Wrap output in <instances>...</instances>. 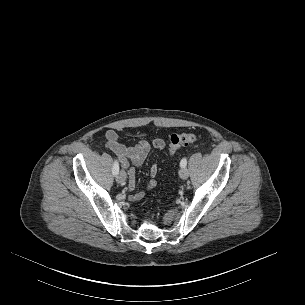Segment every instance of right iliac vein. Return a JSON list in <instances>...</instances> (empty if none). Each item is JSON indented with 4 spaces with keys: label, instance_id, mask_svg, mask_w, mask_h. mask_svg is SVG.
<instances>
[{
    "label": "right iliac vein",
    "instance_id": "63e3f726",
    "mask_svg": "<svg viewBox=\"0 0 305 305\" xmlns=\"http://www.w3.org/2000/svg\"><path fill=\"white\" fill-rule=\"evenodd\" d=\"M116 181L119 183V184H124L125 181H126V173L124 170H121L117 176H116Z\"/></svg>",
    "mask_w": 305,
    "mask_h": 305
}]
</instances>
